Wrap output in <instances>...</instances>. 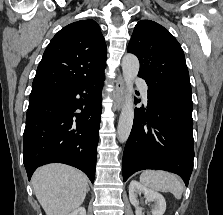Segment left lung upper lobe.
<instances>
[{"mask_svg": "<svg viewBox=\"0 0 223 215\" xmlns=\"http://www.w3.org/2000/svg\"><path fill=\"white\" fill-rule=\"evenodd\" d=\"M128 52L138 57V76L149 87L192 102L184 52L163 26L151 20H140L131 36Z\"/></svg>", "mask_w": 223, "mask_h": 215, "instance_id": "5c2ea615", "label": "left lung upper lobe"}]
</instances>
